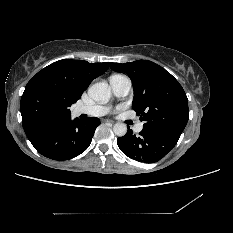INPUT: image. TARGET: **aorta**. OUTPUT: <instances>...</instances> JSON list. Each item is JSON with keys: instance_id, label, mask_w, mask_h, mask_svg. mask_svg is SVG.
<instances>
[{"instance_id": "762f6f07", "label": "aorta", "mask_w": 233, "mask_h": 233, "mask_svg": "<svg viewBox=\"0 0 233 233\" xmlns=\"http://www.w3.org/2000/svg\"><path fill=\"white\" fill-rule=\"evenodd\" d=\"M89 96L100 103L107 102L111 97V89L106 82H98L88 89ZM115 135L121 137L127 133V125L125 123H116L113 126Z\"/></svg>"}]
</instances>
